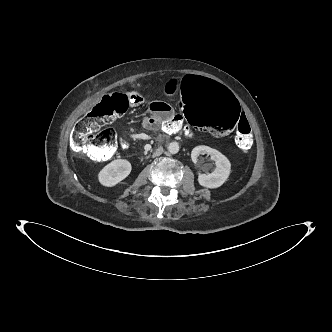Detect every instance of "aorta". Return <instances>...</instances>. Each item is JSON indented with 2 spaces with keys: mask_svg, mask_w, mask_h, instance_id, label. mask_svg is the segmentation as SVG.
<instances>
[{
  "mask_svg": "<svg viewBox=\"0 0 332 332\" xmlns=\"http://www.w3.org/2000/svg\"><path fill=\"white\" fill-rule=\"evenodd\" d=\"M168 151L171 153V154H176L179 152V145L177 142H171L169 145H168Z\"/></svg>",
  "mask_w": 332,
  "mask_h": 332,
  "instance_id": "obj_1",
  "label": "aorta"
}]
</instances>
